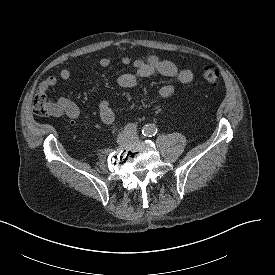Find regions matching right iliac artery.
I'll list each match as a JSON object with an SVG mask.
<instances>
[{
    "label": "right iliac artery",
    "instance_id": "obj_1",
    "mask_svg": "<svg viewBox=\"0 0 275 275\" xmlns=\"http://www.w3.org/2000/svg\"><path fill=\"white\" fill-rule=\"evenodd\" d=\"M125 131L130 134H135L137 131V126L135 124L129 123L125 126Z\"/></svg>",
    "mask_w": 275,
    "mask_h": 275
}]
</instances>
